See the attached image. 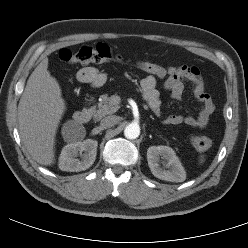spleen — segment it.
I'll return each mask as SVG.
<instances>
[{
  "label": "spleen",
  "instance_id": "spleen-1",
  "mask_svg": "<svg viewBox=\"0 0 248 248\" xmlns=\"http://www.w3.org/2000/svg\"><path fill=\"white\" fill-rule=\"evenodd\" d=\"M203 162H204V157L201 156V158H200V163H203Z\"/></svg>",
  "mask_w": 248,
  "mask_h": 248
}]
</instances>
